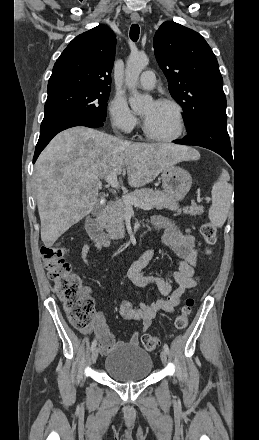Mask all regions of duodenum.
<instances>
[{"instance_id": "410a0bca", "label": "duodenum", "mask_w": 259, "mask_h": 440, "mask_svg": "<svg viewBox=\"0 0 259 440\" xmlns=\"http://www.w3.org/2000/svg\"><path fill=\"white\" fill-rule=\"evenodd\" d=\"M113 205L112 201H109L105 204V206L95 215H90L86 220V229L91 237L100 243H111L119 239V236L116 234L110 235L106 232L103 226V221L105 215ZM158 228V225L151 220L149 230H155ZM142 236H145L142 235Z\"/></svg>"}]
</instances>
